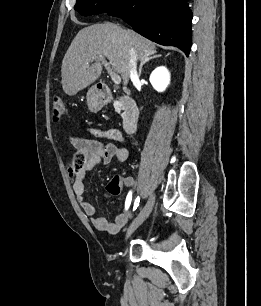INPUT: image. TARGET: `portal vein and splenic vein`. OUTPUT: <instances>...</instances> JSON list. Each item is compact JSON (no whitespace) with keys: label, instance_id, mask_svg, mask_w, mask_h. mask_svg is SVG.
Returning a JSON list of instances; mask_svg holds the SVG:
<instances>
[{"label":"portal vein and splenic vein","instance_id":"portal-vein-and-splenic-vein-1","mask_svg":"<svg viewBox=\"0 0 261 306\" xmlns=\"http://www.w3.org/2000/svg\"><path fill=\"white\" fill-rule=\"evenodd\" d=\"M102 64L105 66L106 70L108 71L109 75L111 76L112 81L114 82V84L118 85L121 83V77L114 73L109 65V63H107L105 60H101Z\"/></svg>","mask_w":261,"mask_h":306}]
</instances>
